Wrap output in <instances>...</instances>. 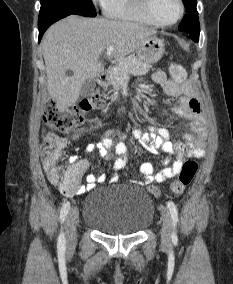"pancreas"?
I'll use <instances>...</instances> for the list:
<instances>
[{"label":"pancreas","instance_id":"pancreas-1","mask_svg":"<svg viewBox=\"0 0 233 284\" xmlns=\"http://www.w3.org/2000/svg\"><path fill=\"white\" fill-rule=\"evenodd\" d=\"M151 65L144 63L134 54L120 59L113 71L112 86L114 91H118L126 77L129 75H144L148 73ZM117 98L115 93L112 100Z\"/></svg>","mask_w":233,"mask_h":284}]
</instances>
